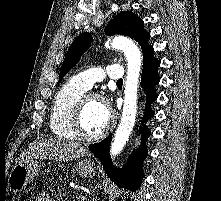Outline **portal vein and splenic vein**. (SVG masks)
I'll return each instance as SVG.
<instances>
[{"instance_id":"obj_1","label":"portal vein and splenic vein","mask_w":221,"mask_h":201,"mask_svg":"<svg viewBox=\"0 0 221 201\" xmlns=\"http://www.w3.org/2000/svg\"><path fill=\"white\" fill-rule=\"evenodd\" d=\"M78 199L85 200L86 198H85V196H83L82 194H79V195H78Z\"/></svg>"}]
</instances>
